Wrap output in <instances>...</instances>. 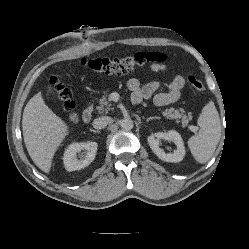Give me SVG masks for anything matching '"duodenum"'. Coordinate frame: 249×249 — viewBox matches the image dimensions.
Returning a JSON list of instances; mask_svg holds the SVG:
<instances>
[{"label":"duodenum","mask_w":249,"mask_h":249,"mask_svg":"<svg viewBox=\"0 0 249 249\" xmlns=\"http://www.w3.org/2000/svg\"><path fill=\"white\" fill-rule=\"evenodd\" d=\"M93 116V109L92 108H86L82 113V120L85 123H88L91 121Z\"/></svg>","instance_id":"410a0bca"}]
</instances>
